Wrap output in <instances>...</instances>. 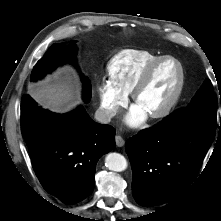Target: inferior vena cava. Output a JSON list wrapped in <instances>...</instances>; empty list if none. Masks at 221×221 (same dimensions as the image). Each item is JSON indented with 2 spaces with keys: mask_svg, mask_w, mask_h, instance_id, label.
<instances>
[{
  "mask_svg": "<svg viewBox=\"0 0 221 221\" xmlns=\"http://www.w3.org/2000/svg\"><path fill=\"white\" fill-rule=\"evenodd\" d=\"M117 111H118L117 107H109V108L100 107L99 109L96 110L94 117L98 122L107 124L117 114Z\"/></svg>",
  "mask_w": 221,
  "mask_h": 221,
  "instance_id": "inferior-vena-cava-1",
  "label": "inferior vena cava"
}]
</instances>
